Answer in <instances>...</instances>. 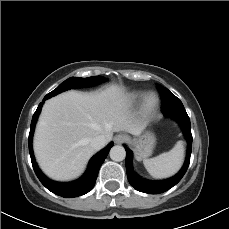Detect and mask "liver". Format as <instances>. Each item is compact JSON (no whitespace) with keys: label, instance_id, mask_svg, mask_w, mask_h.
Returning a JSON list of instances; mask_svg holds the SVG:
<instances>
[{"label":"liver","instance_id":"6515ba94","mask_svg":"<svg viewBox=\"0 0 229 229\" xmlns=\"http://www.w3.org/2000/svg\"><path fill=\"white\" fill-rule=\"evenodd\" d=\"M143 126L132 120L124 89L83 93L68 91L47 100L34 135L39 166L50 178L67 181L78 177L95 153L91 140L98 135L112 139L113 132L140 135Z\"/></svg>","mask_w":229,"mask_h":229}]
</instances>
